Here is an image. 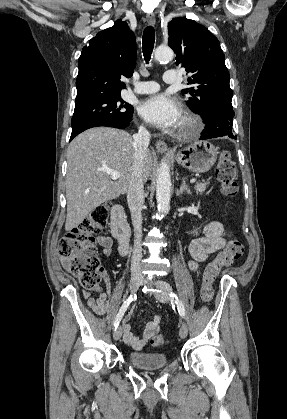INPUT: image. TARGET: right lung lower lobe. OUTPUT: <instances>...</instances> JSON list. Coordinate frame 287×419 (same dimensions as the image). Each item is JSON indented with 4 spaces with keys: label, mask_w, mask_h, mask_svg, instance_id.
<instances>
[{
    "label": "right lung lower lobe",
    "mask_w": 287,
    "mask_h": 419,
    "mask_svg": "<svg viewBox=\"0 0 287 419\" xmlns=\"http://www.w3.org/2000/svg\"><path fill=\"white\" fill-rule=\"evenodd\" d=\"M131 121L129 122H116V121H109V120H101V121H95L89 124L84 125L83 127H81L80 129H78L76 132H73L71 134L70 137V141L77 136L78 134H80L81 132L92 128V127H98V126H107V127H114V128H118V129H124L126 127H128L130 125Z\"/></svg>",
    "instance_id": "98d812e1"
}]
</instances>
